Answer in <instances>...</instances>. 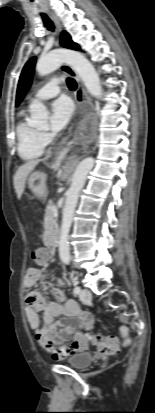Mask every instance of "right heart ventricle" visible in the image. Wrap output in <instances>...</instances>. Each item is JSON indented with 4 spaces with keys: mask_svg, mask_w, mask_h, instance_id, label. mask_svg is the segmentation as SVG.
I'll return each mask as SVG.
<instances>
[{
    "mask_svg": "<svg viewBox=\"0 0 155 413\" xmlns=\"http://www.w3.org/2000/svg\"><path fill=\"white\" fill-rule=\"evenodd\" d=\"M16 136L17 151L23 160L32 161L43 155L44 143L41 140V133L29 124L24 112L17 124Z\"/></svg>",
    "mask_w": 155,
    "mask_h": 413,
    "instance_id": "1",
    "label": "right heart ventricle"
}]
</instances>
